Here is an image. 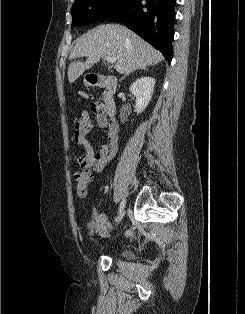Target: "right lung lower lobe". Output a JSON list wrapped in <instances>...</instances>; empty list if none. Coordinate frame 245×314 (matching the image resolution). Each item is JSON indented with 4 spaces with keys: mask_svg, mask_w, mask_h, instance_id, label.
I'll return each instance as SVG.
<instances>
[{
    "mask_svg": "<svg viewBox=\"0 0 245 314\" xmlns=\"http://www.w3.org/2000/svg\"><path fill=\"white\" fill-rule=\"evenodd\" d=\"M130 0L106 19L124 23L161 51L170 63L173 57L176 0Z\"/></svg>",
    "mask_w": 245,
    "mask_h": 314,
    "instance_id": "right-lung-lower-lobe-1",
    "label": "right lung lower lobe"
}]
</instances>
